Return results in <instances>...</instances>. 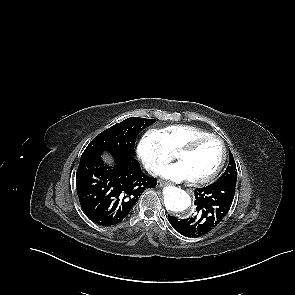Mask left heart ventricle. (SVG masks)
Returning a JSON list of instances; mask_svg holds the SVG:
<instances>
[{
    "instance_id": "obj_1",
    "label": "left heart ventricle",
    "mask_w": 295,
    "mask_h": 295,
    "mask_svg": "<svg viewBox=\"0 0 295 295\" xmlns=\"http://www.w3.org/2000/svg\"><path fill=\"white\" fill-rule=\"evenodd\" d=\"M220 157V143L215 139H207L192 152L181 155L179 161L185 164L194 179L210 174L218 165Z\"/></svg>"
}]
</instances>
